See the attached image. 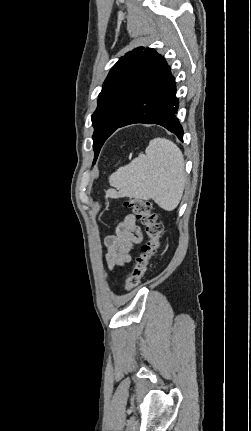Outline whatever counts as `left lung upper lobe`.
Returning a JSON list of instances; mask_svg holds the SVG:
<instances>
[{
  "label": "left lung upper lobe",
  "mask_w": 251,
  "mask_h": 431,
  "mask_svg": "<svg viewBox=\"0 0 251 431\" xmlns=\"http://www.w3.org/2000/svg\"><path fill=\"white\" fill-rule=\"evenodd\" d=\"M160 57L154 49L139 47L122 56L110 70L92 115L94 162Z\"/></svg>",
  "instance_id": "obj_1"
}]
</instances>
